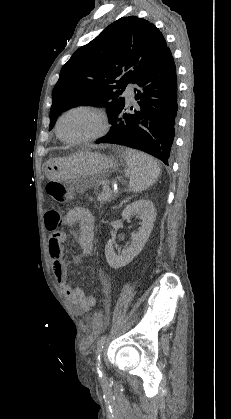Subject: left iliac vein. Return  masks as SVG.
<instances>
[{
	"label": "left iliac vein",
	"instance_id": "left-iliac-vein-1",
	"mask_svg": "<svg viewBox=\"0 0 231 419\" xmlns=\"http://www.w3.org/2000/svg\"><path fill=\"white\" fill-rule=\"evenodd\" d=\"M99 367H100V368L102 367L101 362L99 363Z\"/></svg>",
	"mask_w": 231,
	"mask_h": 419
}]
</instances>
